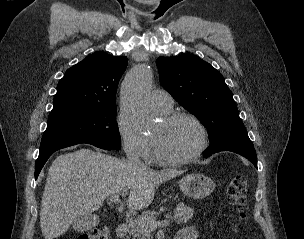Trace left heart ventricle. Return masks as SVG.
<instances>
[{"mask_svg":"<svg viewBox=\"0 0 304 239\" xmlns=\"http://www.w3.org/2000/svg\"><path fill=\"white\" fill-rule=\"evenodd\" d=\"M158 152L169 158H181L193 153L200 143L196 125L188 119H178L170 124L163 121L153 130Z\"/></svg>","mask_w":304,"mask_h":239,"instance_id":"obj_1","label":"left heart ventricle"}]
</instances>
